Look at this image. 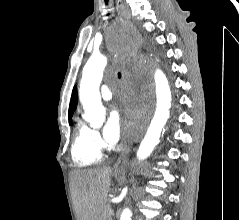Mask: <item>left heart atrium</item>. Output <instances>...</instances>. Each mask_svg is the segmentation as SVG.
Wrapping results in <instances>:
<instances>
[{
	"instance_id": "left-heart-atrium-1",
	"label": "left heart atrium",
	"mask_w": 239,
	"mask_h": 220,
	"mask_svg": "<svg viewBox=\"0 0 239 220\" xmlns=\"http://www.w3.org/2000/svg\"><path fill=\"white\" fill-rule=\"evenodd\" d=\"M118 102L123 106V113L128 115L127 122L124 124L127 131L130 132L132 128L141 126L140 116L134 114L130 109L129 99L125 93H120L118 95ZM116 106H118V104H116ZM116 106L111 109L103 129V136L108 143L118 142L122 133L121 116Z\"/></svg>"
}]
</instances>
